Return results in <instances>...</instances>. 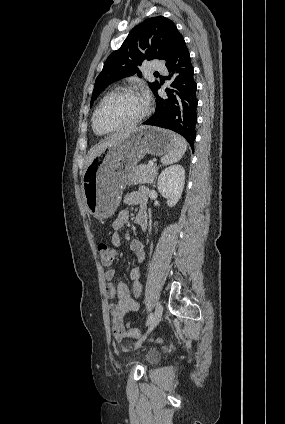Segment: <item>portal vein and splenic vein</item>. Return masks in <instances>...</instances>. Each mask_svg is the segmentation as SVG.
Segmentation results:
<instances>
[{
  "label": "portal vein and splenic vein",
  "mask_w": 285,
  "mask_h": 424,
  "mask_svg": "<svg viewBox=\"0 0 285 424\" xmlns=\"http://www.w3.org/2000/svg\"><path fill=\"white\" fill-rule=\"evenodd\" d=\"M153 164H154V161H150V162H149V165H153Z\"/></svg>",
  "instance_id": "obj_1"
}]
</instances>
